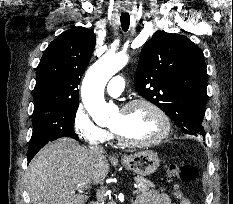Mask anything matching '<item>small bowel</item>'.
I'll return each instance as SVG.
<instances>
[{
  "instance_id": "1",
  "label": "small bowel",
  "mask_w": 233,
  "mask_h": 204,
  "mask_svg": "<svg viewBox=\"0 0 233 204\" xmlns=\"http://www.w3.org/2000/svg\"><path fill=\"white\" fill-rule=\"evenodd\" d=\"M173 197L177 203H173L165 188L152 189L139 194L134 204H191L188 197L179 189L173 193Z\"/></svg>"
}]
</instances>
